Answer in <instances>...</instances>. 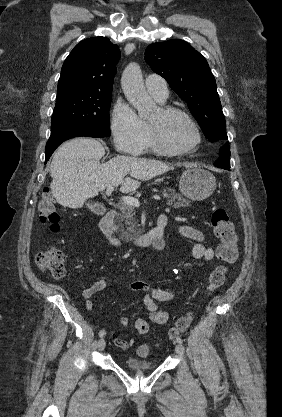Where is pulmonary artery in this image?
<instances>
[{
    "label": "pulmonary artery",
    "mask_w": 282,
    "mask_h": 417,
    "mask_svg": "<svg viewBox=\"0 0 282 417\" xmlns=\"http://www.w3.org/2000/svg\"><path fill=\"white\" fill-rule=\"evenodd\" d=\"M145 87L147 91L158 102H165L168 98V86L167 82L159 75H149L145 79Z\"/></svg>",
    "instance_id": "obj_1"
}]
</instances>
